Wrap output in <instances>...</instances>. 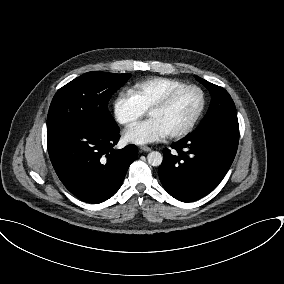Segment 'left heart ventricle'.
Returning <instances> with one entry per match:
<instances>
[{"label": "left heart ventricle", "mask_w": 284, "mask_h": 284, "mask_svg": "<svg viewBox=\"0 0 284 284\" xmlns=\"http://www.w3.org/2000/svg\"><path fill=\"white\" fill-rule=\"evenodd\" d=\"M201 103V96L198 91L189 89L181 92L170 105L154 111L151 117L169 132H175L185 127L196 114Z\"/></svg>", "instance_id": "1"}]
</instances>
